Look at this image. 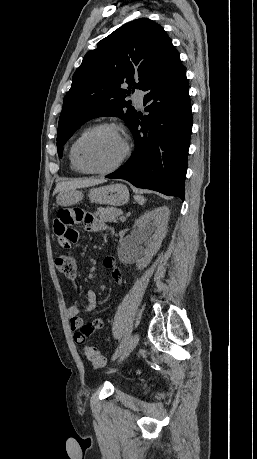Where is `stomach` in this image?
Wrapping results in <instances>:
<instances>
[{
	"label": "stomach",
	"mask_w": 257,
	"mask_h": 459,
	"mask_svg": "<svg viewBox=\"0 0 257 459\" xmlns=\"http://www.w3.org/2000/svg\"><path fill=\"white\" fill-rule=\"evenodd\" d=\"M83 196L82 191L71 189L60 192L56 202L60 206L73 205L81 201ZM88 196L90 201L96 204L120 206L128 202L129 191L123 184H111L91 189Z\"/></svg>",
	"instance_id": "0dacf381"
}]
</instances>
